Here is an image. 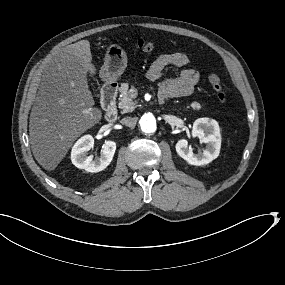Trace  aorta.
I'll return each instance as SVG.
<instances>
[{"label":"aorta","mask_w":285,"mask_h":285,"mask_svg":"<svg viewBox=\"0 0 285 285\" xmlns=\"http://www.w3.org/2000/svg\"><path fill=\"white\" fill-rule=\"evenodd\" d=\"M135 125L140 133L150 135L158 130L160 120L155 112L145 110L137 115Z\"/></svg>","instance_id":"762f6f07"}]
</instances>
